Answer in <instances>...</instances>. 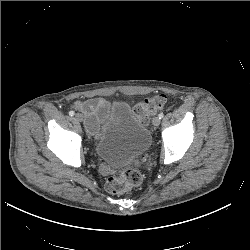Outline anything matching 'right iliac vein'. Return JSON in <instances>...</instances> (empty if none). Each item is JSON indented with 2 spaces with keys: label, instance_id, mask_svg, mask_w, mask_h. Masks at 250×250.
<instances>
[{
  "label": "right iliac vein",
  "instance_id": "right-iliac-vein-1",
  "mask_svg": "<svg viewBox=\"0 0 250 250\" xmlns=\"http://www.w3.org/2000/svg\"><path fill=\"white\" fill-rule=\"evenodd\" d=\"M74 119L78 122H82L83 121V115L80 114V113H77L75 116H74Z\"/></svg>",
  "mask_w": 250,
  "mask_h": 250
}]
</instances>
